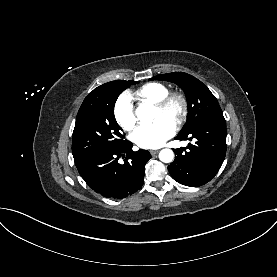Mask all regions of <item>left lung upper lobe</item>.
I'll return each mask as SVG.
<instances>
[{
  "instance_id": "1",
  "label": "left lung upper lobe",
  "mask_w": 277,
  "mask_h": 277,
  "mask_svg": "<svg viewBox=\"0 0 277 277\" xmlns=\"http://www.w3.org/2000/svg\"><path fill=\"white\" fill-rule=\"evenodd\" d=\"M149 80L173 82L185 92L188 99L189 114L187 123L180 134L190 131L203 118L221 111L217 99L207 86L187 73L172 72L154 76Z\"/></svg>"
}]
</instances>
